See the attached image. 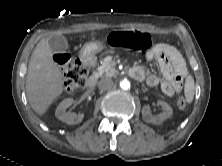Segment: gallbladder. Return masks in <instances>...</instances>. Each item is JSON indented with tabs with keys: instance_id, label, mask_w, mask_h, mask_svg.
Listing matches in <instances>:
<instances>
[{
	"instance_id": "1",
	"label": "gallbladder",
	"mask_w": 222,
	"mask_h": 166,
	"mask_svg": "<svg viewBox=\"0 0 222 166\" xmlns=\"http://www.w3.org/2000/svg\"><path fill=\"white\" fill-rule=\"evenodd\" d=\"M49 46L54 53H62L68 49V42L64 36L55 35L49 39Z\"/></svg>"
}]
</instances>
